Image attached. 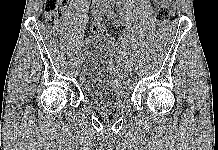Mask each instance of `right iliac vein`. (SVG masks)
I'll return each instance as SVG.
<instances>
[{
  "instance_id": "1",
  "label": "right iliac vein",
  "mask_w": 218,
  "mask_h": 150,
  "mask_svg": "<svg viewBox=\"0 0 218 150\" xmlns=\"http://www.w3.org/2000/svg\"><path fill=\"white\" fill-rule=\"evenodd\" d=\"M97 13V14H101V7H95L94 9H93V13ZM81 63H82V57H81V54H80V59H79V61H78V65L80 66L81 65Z\"/></svg>"
}]
</instances>
